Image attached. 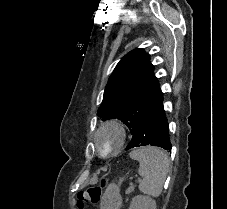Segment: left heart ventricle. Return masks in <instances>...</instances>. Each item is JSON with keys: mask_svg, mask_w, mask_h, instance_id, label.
<instances>
[{"mask_svg": "<svg viewBox=\"0 0 227 209\" xmlns=\"http://www.w3.org/2000/svg\"><path fill=\"white\" fill-rule=\"evenodd\" d=\"M118 139L117 131L112 127H108L99 133L96 144L101 152L106 153L117 146Z\"/></svg>", "mask_w": 227, "mask_h": 209, "instance_id": "1", "label": "left heart ventricle"}]
</instances>
